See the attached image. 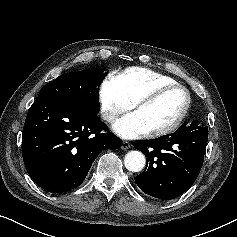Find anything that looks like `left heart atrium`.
I'll return each instance as SVG.
<instances>
[{"instance_id":"39dd6f15","label":"left heart atrium","mask_w":237,"mask_h":237,"mask_svg":"<svg viewBox=\"0 0 237 237\" xmlns=\"http://www.w3.org/2000/svg\"><path fill=\"white\" fill-rule=\"evenodd\" d=\"M114 132L122 138L134 139L146 135L149 131L140 116L136 113H130L113 126Z\"/></svg>"}]
</instances>
